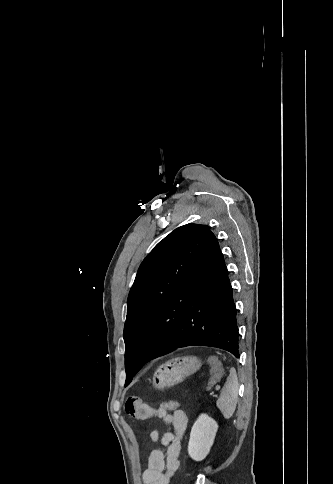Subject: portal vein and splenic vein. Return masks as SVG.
Returning a JSON list of instances; mask_svg holds the SVG:
<instances>
[{
    "label": "portal vein and splenic vein",
    "mask_w": 333,
    "mask_h": 484,
    "mask_svg": "<svg viewBox=\"0 0 333 484\" xmlns=\"http://www.w3.org/2000/svg\"><path fill=\"white\" fill-rule=\"evenodd\" d=\"M211 397H217V395L215 393H210L209 394Z\"/></svg>",
    "instance_id": "18ae733b"
}]
</instances>
